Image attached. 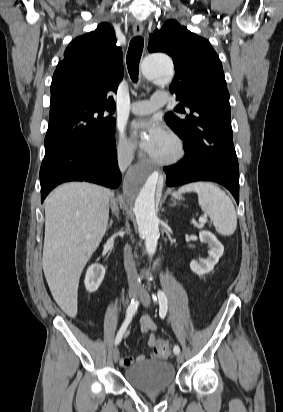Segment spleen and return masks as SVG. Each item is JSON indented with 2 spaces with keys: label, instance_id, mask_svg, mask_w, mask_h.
<instances>
[{
  "label": "spleen",
  "instance_id": "3e777b00",
  "mask_svg": "<svg viewBox=\"0 0 283 412\" xmlns=\"http://www.w3.org/2000/svg\"><path fill=\"white\" fill-rule=\"evenodd\" d=\"M196 192L198 203L206 213L216 231L224 236L235 232L237 216L231 199L216 185L209 182H195L182 186L178 193Z\"/></svg>",
  "mask_w": 283,
  "mask_h": 412
}]
</instances>
